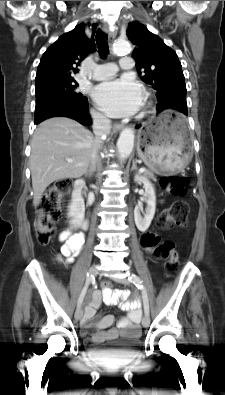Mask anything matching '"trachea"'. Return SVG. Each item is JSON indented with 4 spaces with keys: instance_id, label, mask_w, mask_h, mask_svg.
<instances>
[{
    "instance_id": "3493384b",
    "label": "trachea",
    "mask_w": 225,
    "mask_h": 395,
    "mask_svg": "<svg viewBox=\"0 0 225 395\" xmlns=\"http://www.w3.org/2000/svg\"><path fill=\"white\" fill-rule=\"evenodd\" d=\"M107 34L102 32L100 29L96 33V44L98 48V52L102 58H105L108 54V42H107Z\"/></svg>"
}]
</instances>
